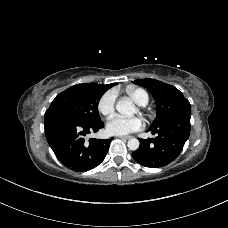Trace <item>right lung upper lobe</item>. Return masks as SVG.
<instances>
[{"label":"right lung upper lobe","mask_w":228,"mask_h":228,"mask_svg":"<svg viewBox=\"0 0 228 228\" xmlns=\"http://www.w3.org/2000/svg\"><path fill=\"white\" fill-rule=\"evenodd\" d=\"M114 84H108V85H103V87H105L107 90L112 87Z\"/></svg>","instance_id":"cb5924a9"}]
</instances>
